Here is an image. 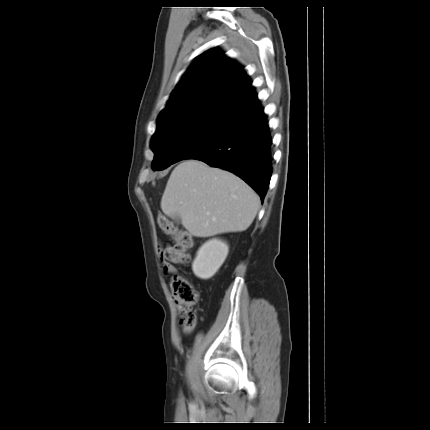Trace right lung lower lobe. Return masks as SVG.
Segmentation results:
<instances>
[{
	"mask_svg": "<svg viewBox=\"0 0 430 430\" xmlns=\"http://www.w3.org/2000/svg\"><path fill=\"white\" fill-rule=\"evenodd\" d=\"M271 145L268 122L257 101L239 114L225 131L186 159L201 160L236 174L263 201L272 174Z\"/></svg>",
	"mask_w": 430,
	"mask_h": 430,
	"instance_id": "obj_1",
	"label": "right lung lower lobe"
}]
</instances>
